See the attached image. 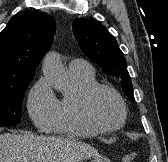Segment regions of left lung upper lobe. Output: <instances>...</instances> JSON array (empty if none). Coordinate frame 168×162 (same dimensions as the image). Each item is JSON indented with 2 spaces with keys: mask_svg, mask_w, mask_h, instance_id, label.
<instances>
[{
  "mask_svg": "<svg viewBox=\"0 0 168 162\" xmlns=\"http://www.w3.org/2000/svg\"><path fill=\"white\" fill-rule=\"evenodd\" d=\"M72 26L75 38L84 54L102 67L105 74L116 77L126 95L134 102L127 63L114 36L94 20L78 18L73 21Z\"/></svg>",
  "mask_w": 168,
  "mask_h": 162,
  "instance_id": "obj_1",
  "label": "left lung upper lobe"
}]
</instances>
